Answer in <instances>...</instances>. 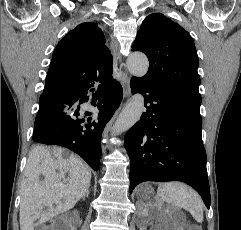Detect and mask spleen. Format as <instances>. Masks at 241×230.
Masks as SVG:
<instances>
[{
	"mask_svg": "<svg viewBox=\"0 0 241 230\" xmlns=\"http://www.w3.org/2000/svg\"><path fill=\"white\" fill-rule=\"evenodd\" d=\"M157 195L170 205L187 209L196 221H203L202 200L190 187L178 182L164 183L158 187Z\"/></svg>",
	"mask_w": 241,
	"mask_h": 230,
	"instance_id": "3e777b00",
	"label": "spleen"
}]
</instances>
